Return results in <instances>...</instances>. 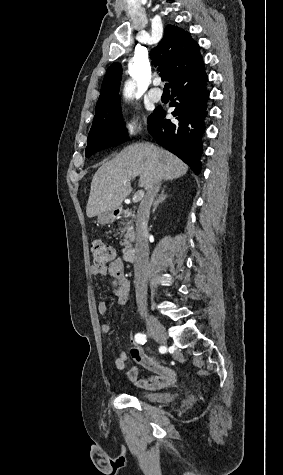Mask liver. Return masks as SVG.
Returning a JSON list of instances; mask_svg holds the SVG:
<instances>
[{
	"label": "liver",
	"instance_id": "liver-1",
	"mask_svg": "<svg viewBox=\"0 0 283 475\" xmlns=\"http://www.w3.org/2000/svg\"><path fill=\"white\" fill-rule=\"evenodd\" d=\"M188 166L167 150L154 144H131L121 150L113 160L98 168L91 182L86 208L88 218L101 212L118 210L123 200L132 192L130 182L140 176L139 186L148 188L153 180H175L184 176Z\"/></svg>",
	"mask_w": 283,
	"mask_h": 475
}]
</instances>
